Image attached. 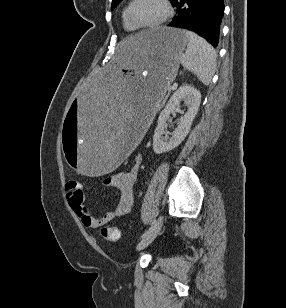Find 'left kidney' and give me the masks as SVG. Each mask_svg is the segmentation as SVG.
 Segmentation results:
<instances>
[{"mask_svg": "<svg viewBox=\"0 0 286 308\" xmlns=\"http://www.w3.org/2000/svg\"><path fill=\"white\" fill-rule=\"evenodd\" d=\"M181 101H184L188 106L187 112L181 117L178 127L173 131L172 136L164 137V134L167 133L166 121L170 114L177 110ZM200 103L201 94L191 85H182L175 91L158 117V125L153 136V150L156 154L176 148L185 139L197 115Z\"/></svg>", "mask_w": 286, "mask_h": 308, "instance_id": "obj_1", "label": "left kidney"}]
</instances>
